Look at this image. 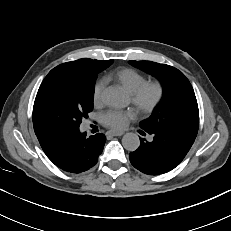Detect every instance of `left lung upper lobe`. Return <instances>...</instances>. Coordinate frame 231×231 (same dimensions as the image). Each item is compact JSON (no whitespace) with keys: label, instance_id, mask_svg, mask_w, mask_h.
<instances>
[{"label":"left lung upper lobe","instance_id":"obj_1","mask_svg":"<svg viewBox=\"0 0 231 231\" xmlns=\"http://www.w3.org/2000/svg\"><path fill=\"white\" fill-rule=\"evenodd\" d=\"M131 65L158 78L163 98L152 116L140 123L145 131H162L196 138L199 110L194 90L178 69L151 61H129Z\"/></svg>","mask_w":231,"mask_h":231}]
</instances>
